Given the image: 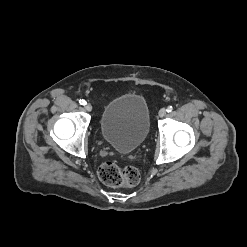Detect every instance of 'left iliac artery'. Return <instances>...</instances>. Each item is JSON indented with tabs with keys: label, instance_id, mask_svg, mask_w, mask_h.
<instances>
[{
	"label": "left iliac artery",
	"instance_id": "left-iliac-artery-1",
	"mask_svg": "<svg viewBox=\"0 0 247 247\" xmlns=\"http://www.w3.org/2000/svg\"><path fill=\"white\" fill-rule=\"evenodd\" d=\"M172 110H173V107L172 106H168L166 111L167 112H171Z\"/></svg>",
	"mask_w": 247,
	"mask_h": 247
}]
</instances>
